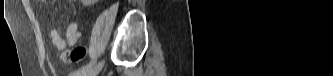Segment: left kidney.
Returning a JSON list of instances; mask_svg holds the SVG:
<instances>
[{"instance_id": "obj_1", "label": "left kidney", "mask_w": 333, "mask_h": 76, "mask_svg": "<svg viewBox=\"0 0 333 76\" xmlns=\"http://www.w3.org/2000/svg\"><path fill=\"white\" fill-rule=\"evenodd\" d=\"M84 2H87V1H84ZM90 2L93 3V2H96V1L95 0H91Z\"/></svg>"}]
</instances>
